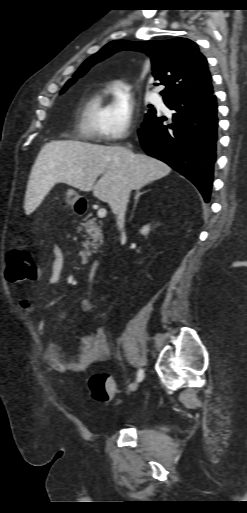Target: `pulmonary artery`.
Masks as SVG:
<instances>
[{
    "label": "pulmonary artery",
    "mask_w": 247,
    "mask_h": 513,
    "mask_svg": "<svg viewBox=\"0 0 247 513\" xmlns=\"http://www.w3.org/2000/svg\"><path fill=\"white\" fill-rule=\"evenodd\" d=\"M152 102H157L159 100V97L156 94H153L150 99Z\"/></svg>",
    "instance_id": "obj_1"
}]
</instances>
